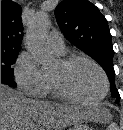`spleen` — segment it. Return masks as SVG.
<instances>
[{"label": "spleen", "mask_w": 123, "mask_h": 130, "mask_svg": "<svg viewBox=\"0 0 123 130\" xmlns=\"http://www.w3.org/2000/svg\"><path fill=\"white\" fill-rule=\"evenodd\" d=\"M108 130H118L117 124L111 123V124L108 126Z\"/></svg>", "instance_id": "3e777b00"}]
</instances>
